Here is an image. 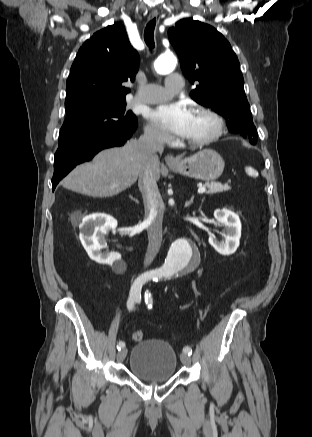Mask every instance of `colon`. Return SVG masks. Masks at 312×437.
Masks as SVG:
<instances>
[{
    "mask_svg": "<svg viewBox=\"0 0 312 437\" xmlns=\"http://www.w3.org/2000/svg\"><path fill=\"white\" fill-rule=\"evenodd\" d=\"M131 336L134 341H141L143 339V332L141 330L136 329L132 331Z\"/></svg>",
    "mask_w": 312,
    "mask_h": 437,
    "instance_id": "colon-1",
    "label": "colon"
}]
</instances>
